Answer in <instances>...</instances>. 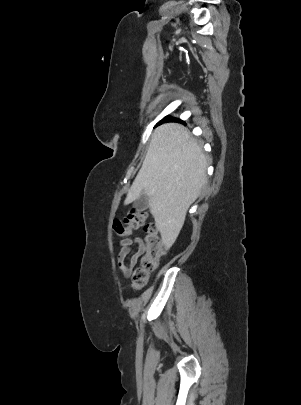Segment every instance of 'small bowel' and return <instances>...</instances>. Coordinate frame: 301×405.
<instances>
[{"label": "small bowel", "mask_w": 301, "mask_h": 405, "mask_svg": "<svg viewBox=\"0 0 301 405\" xmlns=\"http://www.w3.org/2000/svg\"><path fill=\"white\" fill-rule=\"evenodd\" d=\"M120 251L118 253V265L125 277H129L135 267L138 257L141 254L143 240L140 237H127L123 238L120 242ZM136 247V252L130 257L129 261L126 262L128 255L130 254L131 248Z\"/></svg>", "instance_id": "obj_1"}]
</instances>
